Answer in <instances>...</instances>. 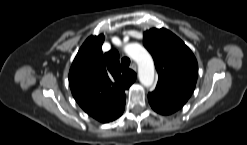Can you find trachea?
Segmentation results:
<instances>
[{"label":"trachea","instance_id":"3493384b","mask_svg":"<svg viewBox=\"0 0 247 145\" xmlns=\"http://www.w3.org/2000/svg\"><path fill=\"white\" fill-rule=\"evenodd\" d=\"M121 64L124 66V67H128L130 65V59L128 57H123L121 59Z\"/></svg>","mask_w":247,"mask_h":145}]
</instances>
